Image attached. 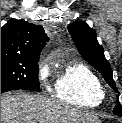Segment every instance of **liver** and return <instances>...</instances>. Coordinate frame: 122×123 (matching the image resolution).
<instances>
[{"instance_id":"liver-1","label":"liver","mask_w":122,"mask_h":123,"mask_svg":"<svg viewBox=\"0 0 122 123\" xmlns=\"http://www.w3.org/2000/svg\"><path fill=\"white\" fill-rule=\"evenodd\" d=\"M1 123H101L87 110L42 95L14 91L1 96Z\"/></svg>"}]
</instances>
